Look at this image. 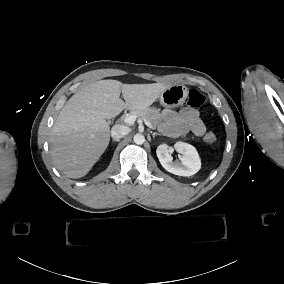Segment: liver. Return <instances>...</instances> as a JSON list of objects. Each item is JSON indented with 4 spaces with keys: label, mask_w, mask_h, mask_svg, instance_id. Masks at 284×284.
<instances>
[{
    "label": "liver",
    "mask_w": 284,
    "mask_h": 284,
    "mask_svg": "<svg viewBox=\"0 0 284 284\" xmlns=\"http://www.w3.org/2000/svg\"><path fill=\"white\" fill-rule=\"evenodd\" d=\"M170 84H123L100 80L86 85L65 103L50 134L51 156L57 169L72 179L85 177L110 142V124L123 110L148 108ZM124 101L120 99V94Z\"/></svg>",
    "instance_id": "1"
}]
</instances>
